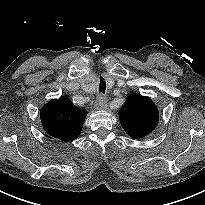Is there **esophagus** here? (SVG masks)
Here are the masks:
<instances>
[{
    "mask_svg": "<svg viewBox=\"0 0 205 205\" xmlns=\"http://www.w3.org/2000/svg\"><path fill=\"white\" fill-rule=\"evenodd\" d=\"M96 109H106L107 108V98L103 95H99L95 101Z\"/></svg>",
    "mask_w": 205,
    "mask_h": 205,
    "instance_id": "34e87169",
    "label": "esophagus"
}]
</instances>
